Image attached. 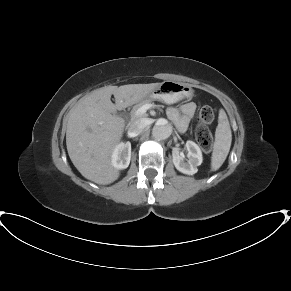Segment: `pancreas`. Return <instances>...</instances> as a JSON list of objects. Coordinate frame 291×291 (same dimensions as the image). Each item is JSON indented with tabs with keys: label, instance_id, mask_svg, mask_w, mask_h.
I'll use <instances>...</instances> for the list:
<instances>
[{
	"label": "pancreas",
	"instance_id": "1",
	"mask_svg": "<svg viewBox=\"0 0 291 291\" xmlns=\"http://www.w3.org/2000/svg\"><path fill=\"white\" fill-rule=\"evenodd\" d=\"M152 101H153V98H146V99L141 100L140 102H138L136 105H134L133 108H132V117H133V118L137 117V116L135 115V112H136V111H137L141 106H143V105H145V104H149V103L152 102Z\"/></svg>",
	"mask_w": 291,
	"mask_h": 291
}]
</instances>
